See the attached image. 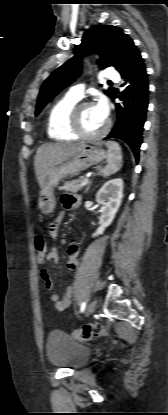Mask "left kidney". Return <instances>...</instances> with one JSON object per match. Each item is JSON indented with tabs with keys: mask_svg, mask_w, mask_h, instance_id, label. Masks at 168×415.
Segmentation results:
<instances>
[{
	"mask_svg": "<svg viewBox=\"0 0 168 415\" xmlns=\"http://www.w3.org/2000/svg\"><path fill=\"white\" fill-rule=\"evenodd\" d=\"M123 198V180L121 178L107 181L97 192L96 201L102 205L100 226L93 233V237L103 234L104 230L112 223L121 205Z\"/></svg>",
	"mask_w": 168,
	"mask_h": 415,
	"instance_id": "5707ae66",
	"label": "left kidney"
}]
</instances>
